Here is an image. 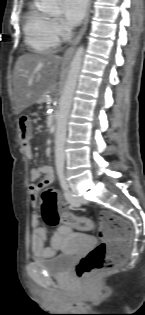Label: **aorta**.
<instances>
[{"mask_svg":"<svg viewBox=\"0 0 145 315\" xmlns=\"http://www.w3.org/2000/svg\"><path fill=\"white\" fill-rule=\"evenodd\" d=\"M40 10L45 13L56 15L60 12L58 0H41ZM84 47L79 46L70 62L67 79L59 102L55 134V165L59 175L64 173L65 140L67 120L71 110L73 95L76 89L78 76L81 69Z\"/></svg>","mask_w":145,"mask_h":315,"instance_id":"762f6f07","label":"aorta"}]
</instances>
